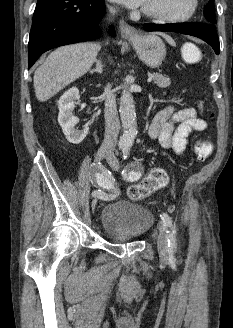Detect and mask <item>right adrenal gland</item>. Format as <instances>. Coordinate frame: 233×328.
<instances>
[{"label": "right adrenal gland", "mask_w": 233, "mask_h": 328, "mask_svg": "<svg viewBox=\"0 0 233 328\" xmlns=\"http://www.w3.org/2000/svg\"><path fill=\"white\" fill-rule=\"evenodd\" d=\"M95 63H96V68L93 70H90V73L92 74L94 72H98V73L102 74L103 73V64H102L101 60L96 59Z\"/></svg>", "instance_id": "1"}]
</instances>
